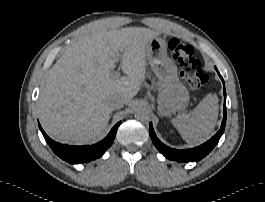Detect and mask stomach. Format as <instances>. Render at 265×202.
<instances>
[{
	"label": "stomach",
	"instance_id": "obj_1",
	"mask_svg": "<svg viewBox=\"0 0 265 202\" xmlns=\"http://www.w3.org/2000/svg\"><path fill=\"white\" fill-rule=\"evenodd\" d=\"M146 58L158 78V111L171 116L183 111L189 103L187 88L180 82L177 66L167 54V43L154 37L145 47Z\"/></svg>",
	"mask_w": 265,
	"mask_h": 202
}]
</instances>
